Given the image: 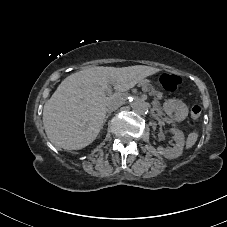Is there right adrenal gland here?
<instances>
[{
  "instance_id": "1",
  "label": "right adrenal gland",
  "mask_w": 227,
  "mask_h": 227,
  "mask_svg": "<svg viewBox=\"0 0 227 227\" xmlns=\"http://www.w3.org/2000/svg\"><path fill=\"white\" fill-rule=\"evenodd\" d=\"M110 115H111V114H109V115H107V116L105 117L104 122H103V126H104V124L106 123V121H107V119L109 118Z\"/></svg>"
}]
</instances>
